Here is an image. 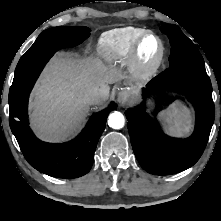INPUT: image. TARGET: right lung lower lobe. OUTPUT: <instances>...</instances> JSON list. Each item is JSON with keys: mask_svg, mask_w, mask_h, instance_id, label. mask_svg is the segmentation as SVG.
Here are the masks:
<instances>
[{"mask_svg": "<svg viewBox=\"0 0 221 221\" xmlns=\"http://www.w3.org/2000/svg\"><path fill=\"white\" fill-rule=\"evenodd\" d=\"M28 98L29 94L9 104L10 127L28 163L53 177L76 178L88 173L107 117L117 105L111 103L105 110L95 113L86 128L74 140L63 144H50L37 139L29 128Z\"/></svg>", "mask_w": 221, "mask_h": 221, "instance_id": "obj_1", "label": "right lung lower lobe"}]
</instances>
